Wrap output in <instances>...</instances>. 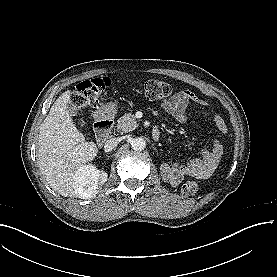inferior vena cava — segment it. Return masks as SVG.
Returning <instances> with one entry per match:
<instances>
[{"label": "inferior vena cava", "mask_w": 277, "mask_h": 277, "mask_svg": "<svg viewBox=\"0 0 277 277\" xmlns=\"http://www.w3.org/2000/svg\"><path fill=\"white\" fill-rule=\"evenodd\" d=\"M120 142L119 138H110L104 143V150L105 151H112Z\"/></svg>", "instance_id": "obj_1"}]
</instances>
